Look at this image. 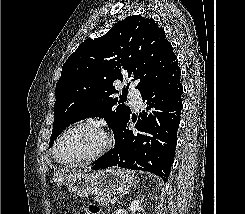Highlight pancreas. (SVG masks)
I'll return each mask as SVG.
<instances>
[{
  "label": "pancreas",
  "mask_w": 245,
  "mask_h": 214,
  "mask_svg": "<svg viewBox=\"0 0 245 214\" xmlns=\"http://www.w3.org/2000/svg\"><path fill=\"white\" fill-rule=\"evenodd\" d=\"M95 201L101 206L110 205V198L107 195H100L99 197L95 198Z\"/></svg>",
  "instance_id": "obj_1"
}]
</instances>
